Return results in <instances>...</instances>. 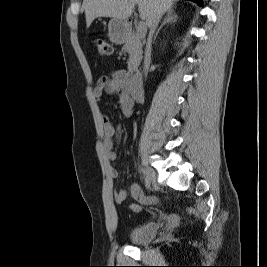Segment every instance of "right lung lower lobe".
<instances>
[{"mask_svg":"<svg viewBox=\"0 0 267 267\" xmlns=\"http://www.w3.org/2000/svg\"><path fill=\"white\" fill-rule=\"evenodd\" d=\"M191 1L197 3V4L200 5V6L202 5V0H191Z\"/></svg>","mask_w":267,"mask_h":267,"instance_id":"right-lung-lower-lobe-1","label":"right lung lower lobe"}]
</instances>
